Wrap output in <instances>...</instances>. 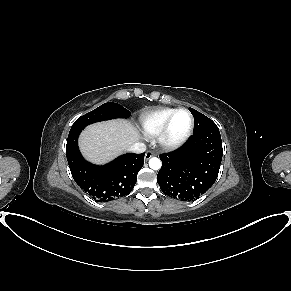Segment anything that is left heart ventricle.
<instances>
[{"instance_id":"obj_1","label":"left heart ventricle","mask_w":291,"mask_h":291,"mask_svg":"<svg viewBox=\"0 0 291 291\" xmlns=\"http://www.w3.org/2000/svg\"><path fill=\"white\" fill-rule=\"evenodd\" d=\"M190 124V117L186 112L178 113L172 122L171 136L177 138L181 136L188 128Z\"/></svg>"}]
</instances>
